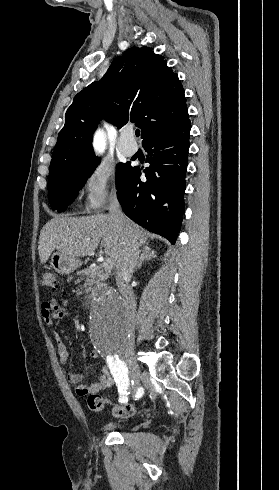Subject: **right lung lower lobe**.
<instances>
[{
	"mask_svg": "<svg viewBox=\"0 0 279 490\" xmlns=\"http://www.w3.org/2000/svg\"><path fill=\"white\" fill-rule=\"evenodd\" d=\"M186 122L165 134L142 143L149 154L150 166L143 170L131 167L117 188L124 213L149 231L175 243L184 213L185 175L188 165L189 133Z\"/></svg>",
	"mask_w": 279,
	"mask_h": 490,
	"instance_id": "obj_1",
	"label": "right lung lower lobe"
}]
</instances>
